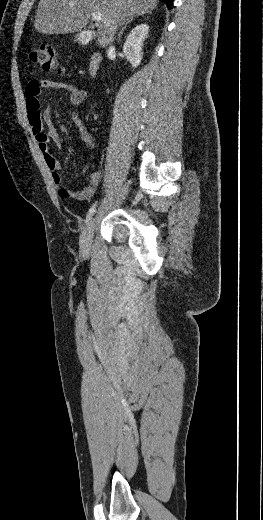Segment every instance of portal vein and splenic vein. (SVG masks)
<instances>
[{"instance_id": "portal-vein-and-splenic-vein-1", "label": "portal vein and splenic vein", "mask_w": 263, "mask_h": 520, "mask_svg": "<svg viewBox=\"0 0 263 520\" xmlns=\"http://www.w3.org/2000/svg\"><path fill=\"white\" fill-rule=\"evenodd\" d=\"M92 19L95 21V22H99L101 21V18H102V14L99 13V12H93L92 13Z\"/></svg>"}]
</instances>
